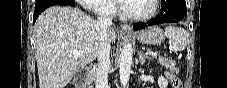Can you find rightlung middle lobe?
I'll return each mask as SVG.
<instances>
[{
	"label": "right lung middle lobe",
	"mask_w": 227,
	"mask_h": 88,
	"mask_svg": "<svg viewBox=\"0 0 227 88\" xmlns=\"http://www.w3.org/2000/svg\"><path fill=\"white\" fill-rule=\"evenodd\" d=\"M44 1H47V0H37L36 1V4L42 3ZM59 3L60 4L75 5L74 2H73V0H60Z\"/></svg>",
	"instance_id": "obj_1"
}]
</instances>
